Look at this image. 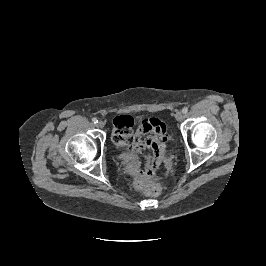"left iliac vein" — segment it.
<instances>
[{
	"label": "left iliac vein",
	"mask_w": 266,
	"mask_h": 266,
	"mask_svg": "<svg viewBox=\"0 0 266 266\" xmlns=\"http://www.w3.org/2000/svg\"><path fill=\"white\" fill-rule=\"evenodd\" d=\"M183 119H184V115H183V113L178 112V113L176 114V120H177L178 122H181V121H183Z\"/></svg>",
	"instance_id": "1"
}]
</instances>
